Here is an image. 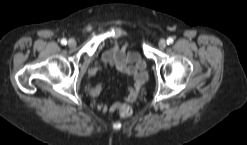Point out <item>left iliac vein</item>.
I'll return each mask as SVG.
<instances>
[{
	"instance_id": "1",
	"label": "left iliac vein",
	"mask_w": 247,
	"mask_h": 145,
	"mask_svg": "<svg viewBox=\"0 0 247 145\" xmlns=\"http://www.w3.org/2000/svg\"><path fill=\"white\" fill-rule=\"evenodd\" d=\"M167 43H166V40L164 39H161L159 42H158V46L159 48L161 49H164L166 47Z\"/></svg>"
}]
</instances>
